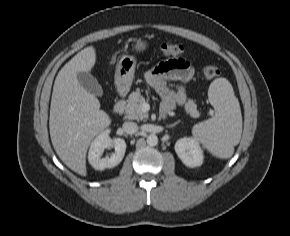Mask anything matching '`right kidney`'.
<instances>
[{
	"label": "right kidney",
	"mask_w": 290,
	"mask_h": 236,
	"mask_svg": "<svg viewBox=\"0 0 290 236\" xmlns=\"http://www.w3.org/2000/svg\"><path fill=\"white\" fill-rule=\"evenodd\" d=\"M110 130L101 132L90 144L88 161L95 170H104L117 166L123 159L126 151V143L121 138L111 139ZM108 147H114L115 152L111 157L101 158L102 153Z\"/></svg>",
	"instance_id": "right-kidney-1"
}]
</instances>
